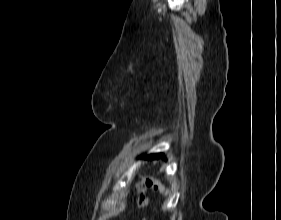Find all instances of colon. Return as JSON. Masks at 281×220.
<instances>
[{"mask_svg": "<svg viewBox=\"0 0 281 220\" xmlns=\"http://www.w3.org/2000/svg\"><path fill=\"white\" fill-rule=\"evenodd\" d=\"M149 181H150V179H147L146 183H139L137 186V191H138L137 205L140 209H144L148 203V199L144 193V187H145V184L147 185V182H149ZM153 185H154V189L159 191L161 194L166 193V190L164 189L163 186H161L157 183H154ZM142 220H147V219H146V217H143Z\"/></svg>", "mask_w": 281, "mask_h": 220, "instance_id": "colon-1", "label": "colon"}]
</instances>
